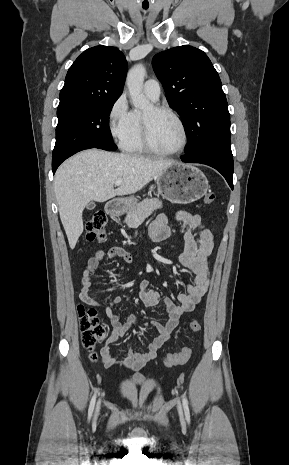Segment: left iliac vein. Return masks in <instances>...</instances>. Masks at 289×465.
I'll list each match as a JSON object with an SVG mask.
<instances>
[{
	"label": "left iliac vein",
	"instance_id": "4c4485c4",
	"mask_svg": "<svg viewBox=\"0 0 289 465\" xmlns=\"http://www.w3.org/2000/svg\"><path fill=\"white\" fill-rule=\"evenodd\" d=\"M178 412H179V415L181 417V419L183 418V413H182V408L180 406V404L178 405Z\"/></svg>",
	"mask_w": 289,
	"mask_h": 465
}]
</instances>
